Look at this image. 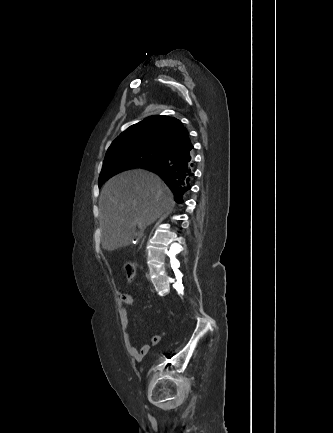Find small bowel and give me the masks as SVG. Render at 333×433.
Listing matches in <instances>:
<instances>
[{
	"label": "small bowel",
	"instance_id": "small-bowel-1",
	"mask_svg": "<svg viewBox=\"0 0 333 433\" xmlns=\"http://www.w3.org/2000/svg\"><path fill=\"white\" fill-rule=\"evenodd\" d=\"M134 298L130 293L120 294L121 308L119 312L120 322L122 329L124 331L125 343L129 354L136 360L141 361L150 351L151 346L149 344H144L137 347L132 341L129 333L128 327L130 323L128 308L132 305ZM161 341V335L155 334L151 338V344L157 345Z\"/></svg>",
	"mask_w": 333,
	"mask_h": 433
}]
</instances>
